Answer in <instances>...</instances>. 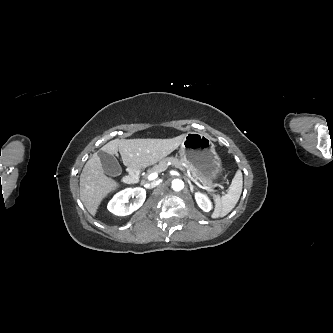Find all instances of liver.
<instances>
[{"label":"liver","mask_w":333,"mask_h":333,"mask_svg":"<svg viewBox=\"0 0 333 333\" xmlns=\"http://www.w3.org/2000/svg\"><path fill=\"white\" fill-rule=\"evenodd\" d=\"M186 134L171 139H115L100 150L119 152L125 166L146 168L164 159L181 145ZM102 163L95 153L86 162L80 175V198L88 212L95 216L102 200L119 185L104 174Z\"/></svg>","instance_id":"obj_1"}]
</instances>
